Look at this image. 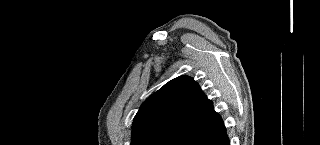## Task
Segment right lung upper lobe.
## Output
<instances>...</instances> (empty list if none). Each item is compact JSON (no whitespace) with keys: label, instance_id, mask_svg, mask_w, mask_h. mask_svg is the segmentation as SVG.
<instances>
[{"label":"right lung upper lobe","instance_id":"cb5924a9","mask_svg":"<svg viewBox=\"0 0 320 145\" xmlns=\"http://www.w3.org/2000/svg\"><path fill=\"white\" fill-rule=\"evenodd\" d=\"M216 115L212 101L191 77H177L141 105L133 121L131 145L156 134H177Z\"/></svg>","mask_w":320,"mask_h":145}]
</instances>
